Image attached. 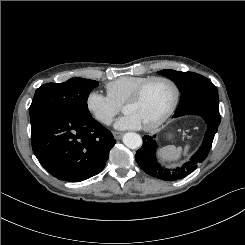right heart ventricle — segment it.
<instances>
[{
	"instance_id": "1",
	"label": "right heart ventricle",
	"mask_w": 245,
	"mask_h": 245,
	"mask_svg": "<svg viewBox=\"0 0 245 245\" xmlns=\"http://www.w3.org/2000/svg\"><path fill=\"white\" fill-rule=\"evenodd\" d=\"M149 78L145 76H121L106 84L107 95L120 106L142 82Z\"/></svg>"
}]
</instances>
